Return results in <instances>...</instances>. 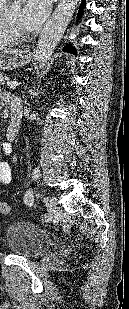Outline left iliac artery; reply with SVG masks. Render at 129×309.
I'll use <instances>...</instances> for the list:
<instances>
[{
    "instance_id": "1",
    "label": "left iliac artery",
    "mask_w": 129,
    "mask_h": 309,
    "mask_svg": "<svg viewBox=\"0 0 129 309\" xmlns=\"http://www.w3.org/2000/svg\"><path fill=\"white\" fill-rule=\"evenodd\" d=\"M40 176V170L39 168H35L33 171V178L38 179ZM25 204L28 206H32L34 202L33 194H29L25 197ZM51 219L50 213L48 215H45V220L49 221Z\"/></svg>"
}]
</instances>
